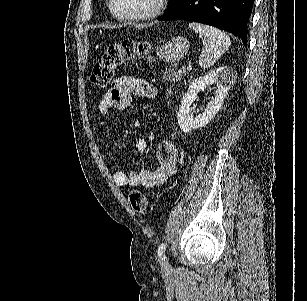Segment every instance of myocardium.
Segmentation results:
<instances>
[{"label":"myocardium","mask_w":307,"mask_h":301,"mask_svg":"<svg viewBox=\"0 0 307 301\" xmlns=\"http://www.w3.org/2000/svg\"><path fill=\"white\" fill-rule=\"evenodd\" d=\"M166 0H157L152 11H132L128 9L124 13H118V4L116 0H111V7L108 8L110 15L116 16V22H147L148 18L158 17L162 8L166 4Z\"/></svg>","instance_id":"f54148a6"}]
</instances>
